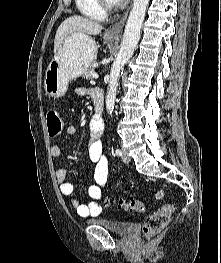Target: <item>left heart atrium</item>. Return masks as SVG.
Masks as SVG:
<instances>
[{
    "mask_svg": "<svg viewBox=\"0 0 221 263\" xmlns=\"http://www.w3.org/2000/svg\"><path fill=\"white\" fill-rule=\"evenodd\" d=\"M124 0H112V2H114L115 4H118V3H121L123 2Z\"/></svg>",
    "mask_w": 221,
    "mask_h": 263,
    "instance_id": "obj_1",
    "label": "left heart atrium"
}]
</instances>
